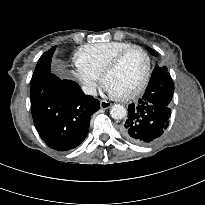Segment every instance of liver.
Listing matches in <instances>:
<instances>
[{
    "label": "liver",
    "mask_w": 205,
    "mask_h": 205,
    "mask_svg": "<svg viewBox=\"0 0 205 205\" xmlns=\"http://www.w3.org/2000/svg\"><path fill=\"white\" fill-rule=\"evenodd\" d=\"M56 70L59 71V72H62V66L59 65Z\"/></svg>",
    "instance_id": "liver-1"
}]
</instances>
